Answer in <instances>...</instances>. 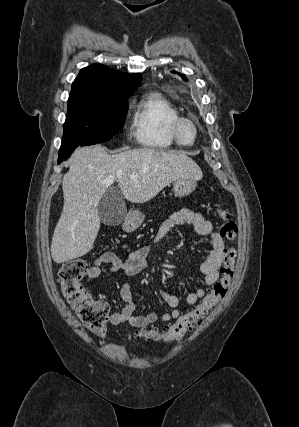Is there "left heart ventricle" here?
Segmentation results:
<instances>
[{
    "instance_id": "1",
    "label": "left heart ventricle",
    "mask_w": 299,
    "mask_h": 427,
    "mask_svg": "<svg viewBox=\"0 0 299 427\" xmlns=\"http://www.w3.org/2000/svg\"><path fill=\"white\" fill-rule=\"evenodd\" d=\"M180 134L184 141L189 142L193 139L194 131L190 124L183 123L180 128Z\"/></svg>"
}]
</instances>
